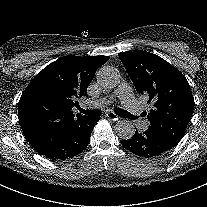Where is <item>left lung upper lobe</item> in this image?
<instances>
[{
    "mask_svg": "<svg viewBox=\"0 0 207 207\" xmlns=\"http://www.w3.org/2000/svg\"><path fill=\"white\" fill-rule=\"evenodd\" d=\"M136 91L149 97V128L176 146L192 117L194 98L184 75L163 58L145 51L122 52ZM144 116L147 114L143 112Z\"/></svg>",
    "mask_w": 207,
    "mask_h": 207,
    "instance_id": "1",
    "label": "left lung upper lobe"
}]
</instances>
